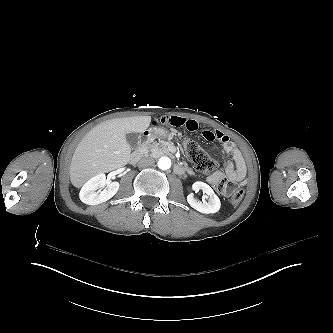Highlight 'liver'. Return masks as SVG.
<instances>
[{"label":"liver","mask_w":333,"mask_h":333,"mask_svg":"<svg viewBox=\"0 0 333 333\" xmlns=\"http://www.w3.org/2000/svg\"><path fill=\"white\" fill-rule=\"evenodd\" d=\"M150 116H134L104 121L90 130L78 144L70 165V180L81 188L91 177L125 166L130 161L128 133H143Z\"/></svg>","instance_id":"1"}]
</instances>
